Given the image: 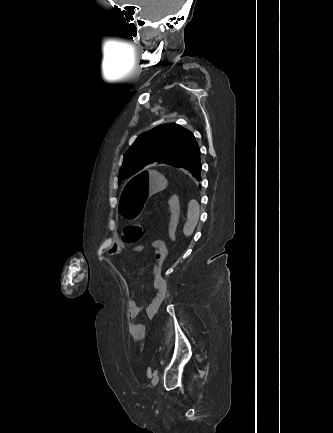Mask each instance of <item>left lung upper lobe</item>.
Wrapping results in <instances>:
<instances>
[{
  "mask_svg": "<svg viewBox=\"0 0 333 433\" xmlns=\"http://www.w3.org/2000/svg\"><path fill=\"white\" fill-rule=\"evenodd\" d=\"M200 154L194 135L175 123L163 124L138 136L124 155L119 183L150 164L182 168Z\"/></svg>",
  "mask_w": 333,
  "mask_h": 433,
  "instance_id": "left-lung-upper-lobe-1",
  "label": "left lung upper lobe"
}]
</instances>
